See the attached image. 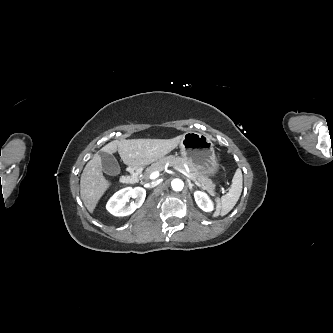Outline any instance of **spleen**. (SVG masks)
Returning <instances> with one entry per match:
<instances>
[{
    "label": "spleen",
    "instance_id": "1",
    "mask_svg": "<svg viewBox=\"0 0 333 333\" xmlns=\"http://www.w3.org/2000/svg\"><path fill=\"white\" fill-rule=\"evenodd\" d=\"M242 181V172L240 169H237L233 176L229 192L221 198L216 199L214 217H218L219 215L225 216L234 208L242 192Z\"/></svg>",
    "mask_w": 333,
    "mask_h": 333
}]
</instances>
